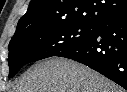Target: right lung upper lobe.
I'll return each mask as SVG.
<instances>
[{"label":"right lung upper lobe","mask_w":127,"mask_h":92,"mask_svg":"<svg viewBox=\"0 0 127 92\" xmlns=\"http://www.w3.org/2000/svg\"><path fill=\"white\" fill-rule=\"evenodd\" d=\"M127 12V0H31L13 36L39 27L68 24L96 25Z\"/></svg>","instance_id":"cb5924a9"}]
</instances>
